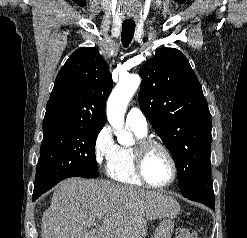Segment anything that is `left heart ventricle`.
Instances as JSON below:
<instances>
[{"instance_id": "obj_1", "label": "left heart ventricle", "mask_w": 247, "mask_h": 238, "mask_svg": "<svg viewBox=\"0 0 247 238\" xmlns=\"http://www.w3.org/2000/svg\"><path fill=\"white\" fill-rule=\"evenodd\" d=\"M144 168L148 180L154 184H164L172 176L171 163L159 148H153L148 152Z\"/></svg>"}]
</instances>
